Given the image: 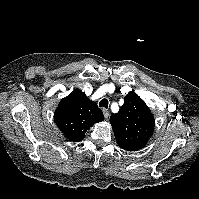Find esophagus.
Listing matches in <instances>:
<instances>
[{
	"mask_svg": "<svg viewBox=\"0 0 199 199\" xmlns=\"http://www.w3.org/2000/svg\"><path fill=\"white\" fill-rule=\"evenodd\" d=\"M103 114L106 119L109 117V111L107 109H103Z\"/></svg>",
	"mask_w": 199,
	"mask_h": 199,
	"instance_id": "esophagus-1",
	"label": "esophagus"
}]
</instances>
